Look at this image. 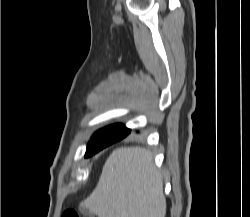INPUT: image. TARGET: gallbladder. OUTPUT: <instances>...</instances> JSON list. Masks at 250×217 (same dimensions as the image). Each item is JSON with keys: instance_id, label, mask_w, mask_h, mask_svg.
I'll return each mask as SVG.
<instances>
[{"instance_id": "1", "label": "gallbladder", "mask_w": 250, "mask_h": 217, "mask_svg": "<svg viewBox=\"0 0 250 217\" xmlns=\"http://www.w3.org/2000/svg\"><path fill=\"white\" fill-rule=\"evenodd\" d=\"M79 210H80V212H82V213L90 214L89 211H88V209H86L85 207H82V206H81V207L79 208Z\"/></svg>"}]
</instances>
